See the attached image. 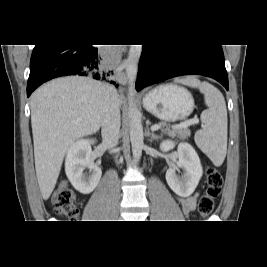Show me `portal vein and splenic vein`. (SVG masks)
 Returning a JSON list of instances; mask_svg holds the SVG:
<instances>
[{
	"label": "portal vein and splenic vein",
	"mask_w": 267,
	"mask_h": 267,
	"mask_svg": "<svg viewBox=\"0 0 267 267\" xmlns=\"http://www.w3.org/2000/svg\"><path fill=\"white\" fill-rule=\"evenodd\" d=\"M199 122V120L197 118H194V119H190V120H186L178 125H175L174 127L175 128H187L189 127L190 125H194V124H197ZM161 126L160 125H153L151 127V130L152 131H156L158 129H160Z\"/></svg>",
	"instance_id": "obj_1"
}]
</instances>
